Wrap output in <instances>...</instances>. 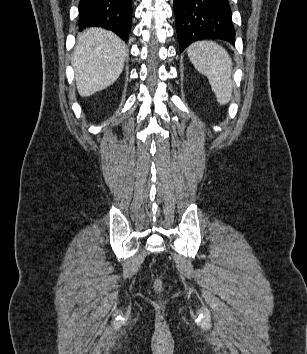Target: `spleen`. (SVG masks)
Listing matches in <instances>:
<instances>
[{"label":"spleen","mask_w":307,"mask_h":354,"mask_svg":"<svg viewBox=\"0 0 307 354\" xmlns=\"http://www.w3.org/2000/svg\"><path fill=\"white\" fill-rule=\"evenodd\" d=\"M188 57L196 70L205 75L220 105H226L231 97L232 60L227 51L212 41H197L188 48Z\"/></svg>","instance_id":"obj_1"}]
</instances>
